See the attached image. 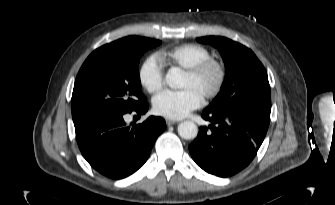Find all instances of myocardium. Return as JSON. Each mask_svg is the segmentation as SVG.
<instances>
[{
  "label": "myocardium",
  "instance_id": "1",
  "mask_svg": "<svg viewBox=\"0 0 335 205\" xmlns=\"http://www.w3.org/2000/svg\"><path fill=\"white\" fill-rule=\"evenodd\" d=\"M211 70L215 71L216 80L214 85L210 89L204 91L202 94L207 99L216 97L224 87L227 78V70L224 63L218 59L210 57L186 69L185 71V73L189 76L195 79H200Z\"/></svg>",
  "mask_w": 335,
  "mask_h": 205
}]
</instances>
